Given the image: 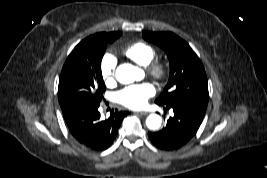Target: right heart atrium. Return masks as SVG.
I'll list each match as a JSON object with an SVG mask.
<instances>
[{"instance_id": "1", "label": "right heart atrium", "mask_w": 267, "mask_h": 178, "mask_svg": "<svg viewBox=\"0 0 267 178\" xmlns=\"http://www.w3.org/2000/svg\"><path fill=\"white\" fill-rule=\"evenodd\" d=\"M116 58L112 54H104L100 62V74L107 86L116 83Z\"/></svg>"}]
</instances>
